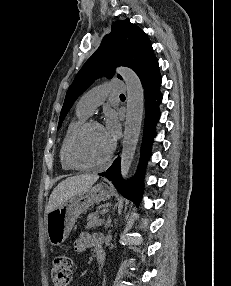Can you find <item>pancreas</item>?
Instances as JSON below:
<instances>
[{
  "instance_id": "obj_1",
  "label": "pancreas",
  "mask_w": 231,
  "mask_h": 286,
  "mask_svg": "<svg viewBox=\"0 0 231 286\" xmlns=\"http://www.w3.org/2000/svg\"><path fill=\"white\" fill-rule=\"evenodd\" d=\"M104 223V218H100L99 217V212L96 211L94 213H91L88 217H87V225H86V229H95L98 226H101Z\"/></svg>"
}]
</instances>
